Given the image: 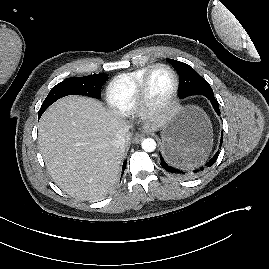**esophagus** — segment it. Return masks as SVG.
Instances as JSON below:
<instances>
[{
  "label": "esophagus",
  "instance_id": "esophagus-1",
  "mask_svg": "<svg viewBox=\"0 0 269 269\" xmlns=\"http://www.w3.org/2000/svg\"><path fill=\"white\" fill-rule=\"evenodd\" d=\"M144 138H145V134H143V133H137V134H135V136L133 138V143H139Z\"/></svg>",
  "mask_w": 269,
  "mask_h": 269
}]
</instances>
